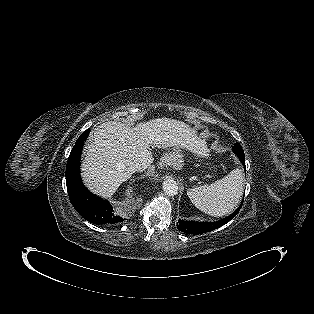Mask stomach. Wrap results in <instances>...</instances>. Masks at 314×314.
Masks as SVG:
<instances>
[{
  "mask_svg": "<svg viewBox=\"0 0 314 314\" xmlns=\"http://www.w3.org/2000/svg\"><path fill=\"white\" fill-rule=\"evenodd\" d=\"M183 157L182 150L178 147H174L170 152L165 154L164 163L176 169H180L183 166Z\"/></svg>",
  "mask_w": 314,
  "mask_h": 314,
  "instance_id": "obj_1",
  "label": "stomach"
}]
</instances>
